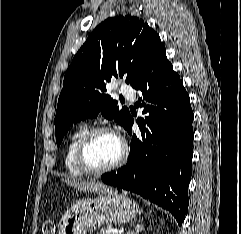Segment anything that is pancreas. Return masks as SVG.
I'll use <instances>...</instances> for the list:
<instances>
[{
  "label": "pancreas",
  "mask_w": 241,
  "mask_h": 234,
  "mask_svg": "<svg viewBox=\"0 0 241 234\" xmlns=\"http://www.w3.org/2000/svg\"><path fill=\"white\" fill-rule=\"evenodd\" d=\"M109 229L110 228H102L97 234H112V233H109Z\"/></svg>",
  "instance_id": "pancreas-1"
}]
</instances>
